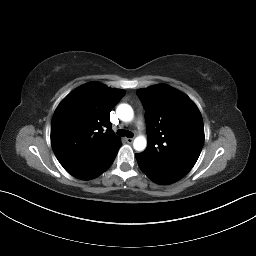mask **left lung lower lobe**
I'll return each mask as SVG.
<instances>
[{"label":"left lung lower lobe","mask_w":256,"mask_h":256,"mask_svg":"<svg viewBox=\"0 0 256 256\" xmlns=\"http://www.w3.org/2000/svg\"><path fill=\"white\" fill-rule=\"evenodd\" d=\"M135 156L142 172L145 173L153 182L157 184L166 185L174 183L181 179L178 176L167 174L157 169H154L148 164L147 161H145L141 153L136 154Z\"/></svg>","instance_id":"obj_1"}]
</instances>
